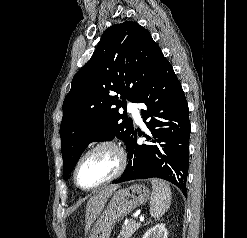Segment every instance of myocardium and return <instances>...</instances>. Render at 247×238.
I'll return each instance as SVG.
<instances>
[{
    "label": "myocardium",
    "mask_w": 247,
    "mask_h": 238,
    "mask_svg": "<svg viewBox=\"0 0 247 238\" xmlns=\"http://www.w3.org/2000/svg\"><path fill=\"white\" fill-rule=\"evenodd\" d=\"M110 149L112 150L118 159V166L116 171L107 179L93 185V186H89V187H84L82 186L77 179V173H78V169L81 165V163L83 162V160L88 157L90 154L100 150V149ZM127 166V155L125 150L115 141L113 140H100L98 142H96L95 144H93L91 147H89L84 153L81 154V156L78 158L74 169H73V182L74 184L81 190L84 191H90V190H94L96 188H99L101 186H104L112 181H114L115 179H117L118 177H120L122 175V173L124 172V170L126 169Z\"/></svg>",
    "instance_id": "obj_1"
}]
</instances>
